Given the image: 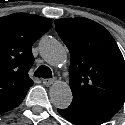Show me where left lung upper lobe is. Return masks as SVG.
Returning <instances> with one entry per match:
<instances>
[{"label":"left lung upper lobe","mask_w":125,"mask_h":125,"mask_svg":"<svg viewBox=\"0 0 125 125\" xmlns=\"http://www.w3.org/2000/svg\"><path fill=\"white\" fill-rule=\"evenodd\" d=\"M69 49L73 100L70 106H116L125 102V62L111 34L87 18L55 20Z\"/></svg>","instance_id":"1"}]
</instances>
